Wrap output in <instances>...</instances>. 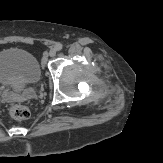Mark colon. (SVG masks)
Segmentation results:
<instances>
[{
	"label": "colon",
	"mask_w": 163,
	"mask_h": 163,
	"mask_svg": "<svg viewBox=\"0 0 163 163\" xmlns=\"http://www.w3.org/2000/svg\"><path fill=\"white\" fill-rule=\"evenodd\" d=\"M29 109L27 106L22 104H14L11 107V115L18 120H23L29 117Z\"/></svg>",
	"instance_id": "1"
}]
</instances>
